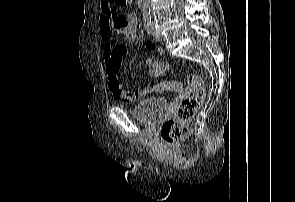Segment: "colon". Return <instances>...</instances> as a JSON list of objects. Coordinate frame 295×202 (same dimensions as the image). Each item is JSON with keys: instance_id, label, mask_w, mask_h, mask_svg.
I'll return each instance as SVG.
<instances>
[{"instance_id": "colon-1", "label": "colon", "mask_w": 295, "mask_h": 202, "mask_svg": "<svg viewBox=\"0 0 295 202\" xmlns=\"http://www.w3.org/2000/svg\"><path fill=\"white\" fill-rule=\"evenodd\" d=\"M118 6H130L132 0H110ZM146 68L153 75H163L171 70L168 62H155L156 56H145ZM186 81L192 89L190 98H185L178 107L173 118L166 120L160 131L161 139L167 144H176L188 134V125L194 114L200 109L206 96V88L202 78L194 73L186 75ZM181 83L166 80L157 85H152V90L157 92L180 91Z\"/></svg>"}]
</instances>
